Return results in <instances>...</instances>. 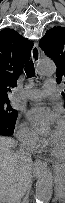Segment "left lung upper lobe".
<instances>
[{
    "instance_id": "obj_1",
    "label": "left lung upper lobe",
    "mask_w": 65,
    "mask_h": 203,
    "mask_svg": "<svg viewBox=\"0 0 65 203\" xmlns=\"http://www.w3.org/2000/svg\"><path fill=\"white\" fill-rule=\"evenodd\" d=\"M39 46L48 57L54 60L57 66V83L65 82V28L54 26L48 30L39 41ZM63 97L65 99V93H63Z\"/></svg>"
}]
</instances>
